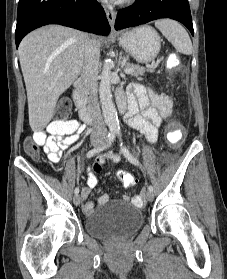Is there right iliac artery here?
Segmentation results:
<instances>
[{
    "label": "right iliac artery",
    "mask_w": 227,
    "mask_h": 279,
    "mask_svg": "<svg viewBox=\"0 0 227 279\" xmlns=\"http://www.w3.org/2000/svg\"><path fill=\"white\" fill-rule=\"evenodd\" d=\"M115 138H116V131H110L109 134H108V139L106 140V142L102 146L91 149L87 153V158H90V157L100 153L101 151H103L107 147H109L114 142ZM74 193H75V195H78V193H79V188L78 187L75 188Z\"/></svg>",
    "instance_id": "82829eb1"
}]
</instances>
